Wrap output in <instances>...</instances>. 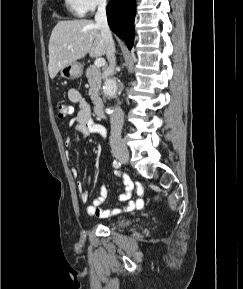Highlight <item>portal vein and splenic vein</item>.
Listing matches in <instances>:
<instances>
[{
    "label": "portal vein and splenic vein",
    "mask_w": 243,
    "mask_h": 289,
    "mask_svg": "<svg viewBox=\"0 0 243 289\" xmlns=\"http://www.w3.org/2000/svg\"><path fill=\"white\" fill-rule=\"evenodd\" d=\"M95 67L100 68L105 65V59L104 58H97L94 62Z\"/></svg>",
    "instance_id": "18ae733b"
}]
</instances>
